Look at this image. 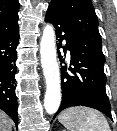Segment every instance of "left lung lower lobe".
I'll use <instances>...</instances> for the list:
<instances>
[{
    "mask_svg": "<svg viewBox=\"0 0 117 131\" xmlns=\"http://www.w3.org/2000/svg\"><path fill=\"white\" fill-rule=\"evenodd\" d=\"M45 21L54 25L61 63H64L59 51L63 48L62 43L66 44L64 52L69 50L71 54L70 66H62V102L55 116L68 107L86 106L97 109L112 119L111 106L105 90L104 63L77 43L72 29L61 14L47 10Z\"/></svg>",
    "mask_w": 117,
    "mask_h": 131,
    "instance_id": "obj_1",
    "label": "left lung lower lobe"
}]
</instances>
